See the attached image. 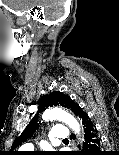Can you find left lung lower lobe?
I'll list each match as a JSON object with an SVG mask.
<instances>
[{
  "label": "left lung lower lobe",
  "instance_id": "0a47b994",
  "mask_svg": "<svg viewBox=\"0 0 119 155\" xmlns=\"http://www.w3.org/2000/svg\"><path fill=\"white\" fill-rule=\"evenodd\" d=\"M74 114L80 119L84 130L82 151L76 155H102L100 138L93 122L78 104L74 108Z\"/></svg>",
  "mask_w": 119,
  "mask_h": 155
}]
</instances>
